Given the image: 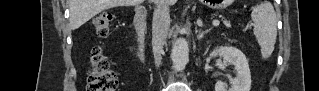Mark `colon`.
<instances>
[{
  "instance_id": "5ec220e1",
  "label": "colon",
  "mask_w": 319,
  "mask_h": 91,
  "mask_svg": "<svg viewBox=\"0 0 319 91\" xmlns=\"http://www.w3.org/2000/svg\"><path fill=\"white\" fill-rule=\"evenodd\" d=\"M114 21L111 12H102L92 19V26L97 35L105 36ZM118 81L110 69L109 63L100 47H94L90 52V71L87 79L88 91H116Z\"/></svg>"
}]
</instances>
